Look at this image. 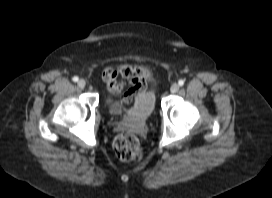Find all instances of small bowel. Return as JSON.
<instances>
[{
    "instance_id": "c3829d8e",
    "label": "small bowel",
    "mask_w": 272,
    "mask_h": 198,
    "mask_svg": "<svg viewBox=\"0 0 272 198\" xmlns=\"http://www.w3.org/2000/svg\"><path fill=\"white\" fill-rule=\"evenodd\" d=\"M111 71V75L104 78L111 95L119 94L123 87L128 85V89L120 99L123 103L130 104L149 95L148 87L152 78L150 70L146 66L120 63Z\"/></svg>"
}]
</instances>
